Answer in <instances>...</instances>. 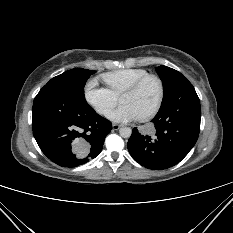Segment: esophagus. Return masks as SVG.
I'll return each mask as SVG.
<instances>
[{
	"mask_svg": "<svg viewBox=\"0 0 233 233\" xmlns=\"http://www.w3.org/2000/svg\"><path fill=\"white\" fill-rule=\"evenodd\" d=\"M120 127H121V125H119V124H113V125H112V128H113L114 130H118Z\"/></svg>",
	"mask_w": 233,
	"mask_h": 233,
	"instance_id": "esophagus-1",
	"label": "esophagus"
}]
</instances>
